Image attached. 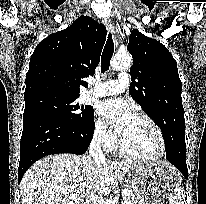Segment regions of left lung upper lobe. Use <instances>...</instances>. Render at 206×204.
I'll return each mask as SVG.
<instances>
[{"instance_id": "obj_1", "label": "left lung upper lobe", "mask_w": 206, "mask_h": 204, "mask_svg": "<svg viewBox=\"0 0 206 204\" xmlns=\"http://www.w3.org/2000/svg\"><path fill=\"white\" fill-rule=\"evenodd\" d=\"M130 95L162 130L164 140L185 138L182 83L177 63L168 49L137 29L131 31Z\"/></svg>"}]
</instances>
